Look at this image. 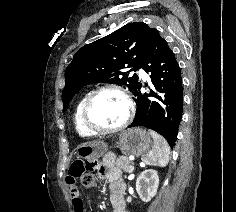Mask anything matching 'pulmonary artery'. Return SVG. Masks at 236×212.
Masks as SVG:
<instances>
[{
  "label": "pulmonary artery",
  "mask_w": 236,
  "mask_h": 212,
  "mask_svg": "<svg viewBox=\"0 0 236 212\" xmlns=\"http://www.w3.org/2000/svg\"><path fill=\"white\" fill-rule=\"evenodd\" d=\"M139 75H140L142 78H146V77H147V76H146V73H145L142 69L139 70Z\"/></svg>",
  "instance_id": "pulmonary-artery-1"
}]
</instances>
